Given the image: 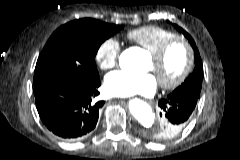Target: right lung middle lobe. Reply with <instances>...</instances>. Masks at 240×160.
Segmentation results:
<instances>
[{"label": "right lung middle lobe", "mask_w": 240, "mask_h": 160, "mask_svg": "<svg viewBox=\"0 0 240 160\" xmlns=\"http://www.w3.org/2000/svg\"><path fill=\"white\" fill-rule=\"evenodd\" d=\"M122 29L96 19L83 18L59 27L48 39L36 63L34 87L59 79L89 85L99 79L94 58L100 45Z\"/></svg>", "instance_id": "dd1d6c3e"}]
</instances>
